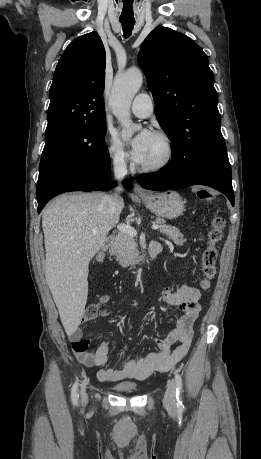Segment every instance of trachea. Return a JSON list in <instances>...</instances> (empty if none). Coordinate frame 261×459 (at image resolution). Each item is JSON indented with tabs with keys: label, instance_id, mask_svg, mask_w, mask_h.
I'll use <instances>...</instances> for the list:
<instances>
[{
	"label": "trachea",
	"instance_id": "trachea-1",
	"mask_svg": "<svg viewBox=\"0 0 261 459\" xmlns=\"http://www.w3.org/2000/svg\"><path fill=\"white\" fill-rule=\"evenodd\" d=\"M122 27L124 38H128L132 34L133 27L135 25L134 20H120Z\"/></svg>",
	"mask_w": 261,
	"mask_h": 459
}]
</instances>
